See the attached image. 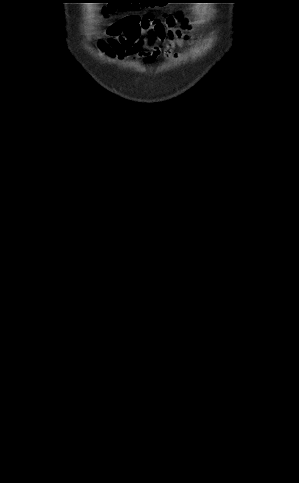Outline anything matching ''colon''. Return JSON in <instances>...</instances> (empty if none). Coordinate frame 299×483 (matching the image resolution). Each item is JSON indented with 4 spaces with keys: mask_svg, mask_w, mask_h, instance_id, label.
Returning a JSON list of instances; mask_svg holds the SVG:
<instances>
[{
    "mask_svg": "<svg viewBox=\"0 0 299 483\" xmlns=\"http://www.w3.org/2000/svg\"><path fill=\"white\" fill-rule=\"evenodd\" d=\"M107 4H104L105 7L103 8V13L104 14H110V13H113L115 12L117 9H118V6H130L129 4V1H117V3L115 4V2H106Z\"/></svg>",
    "mask_w": 299,
    "mask_h": 483,
    "instance_id": "colon-1",
    "label": "colon"
}]
</instances>
